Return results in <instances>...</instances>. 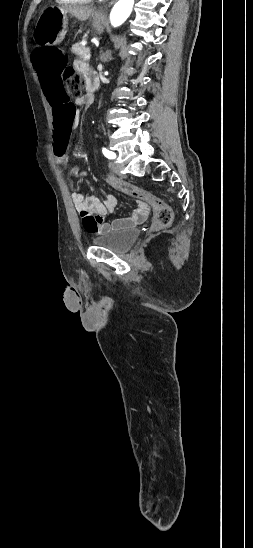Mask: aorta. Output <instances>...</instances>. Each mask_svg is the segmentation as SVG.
I'll list each match as a JSON object with an SVG mask.
<instances>
[{
	"label": "aorta",
	"mask_w": 253,
	"mask_h": 548,
	"mask_svg": "<svg viewBox=\"0 0 253 548\" xmlns=\"http://www.w3.org/2000/svg\"><path fill=\"white\" fill-rule=\"evenodd\" d=\"M134 0H118L110 13V23L113 27H119L130 16Z\"/></svg>",
	"instance_id": "aorta-1"
}]
</instances>
